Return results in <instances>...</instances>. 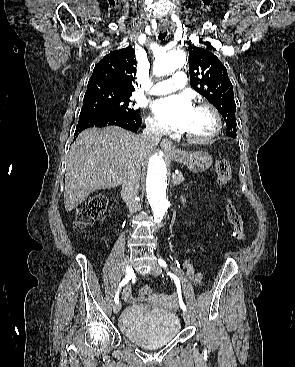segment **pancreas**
<instances>
[{
  "instance_id": "1",
  "label": "pancreas",
  "mask_w": 295,
  "mask_h": 367,
  "mask_svg": "<svg viewBox=\"0 0 295 367\" xmlns=\"http://www.w3.org/2000/svg\"><path fill=\"white\" fill-rule=\"evenodd\" d=\"M184 181V177L181 173L179 174H174V177H172V183L173 185H179L180 183H182Z\"/></svg>"
}]
</instances>
